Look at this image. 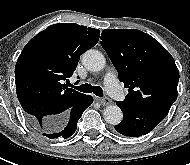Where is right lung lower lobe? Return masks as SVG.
Here are the masks:
<instances>
[{
	"instance_id": "98d812e1",
	"label": "right lung lower lobe",
	"mask_w": 190,
	"mask_h": 165,
	"mask_svg": "<svg viewBox=\"0 0 190 165\" xmlns=\"http://www.w3.org/2000/svg\"><path fill=\"white\" fill-rule=\"evenodd\" d=\"M92 102L93 97L90 95L86 96L83 100L78 102L61 121L43 130L38 128L37 123L33 118L27 116V120L31 126H33L38 131L43 132V135L50 139L59 137L66 139L74 134L77 129V122L82 116L83 111L89 107Z\"/></svg>"
}]
</instances>
